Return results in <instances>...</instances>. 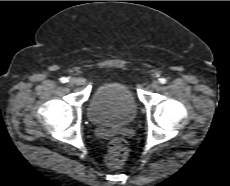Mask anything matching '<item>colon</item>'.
Listing matches in <instances>:
<instances>
[{
  "label": "colon",
  "instance_id": "obj_1",
  "mask_svg": "<svg viewBox=\"0 0 230 186\" xmlns=\"http://www.w3.org/2000/svg\"><path fill=\"white\" fill-rule=\"evenodd\" d=\"M128 154L129 149L126 141L122 138H115L108 145L105 162L110 168H119L126 162Z\"/></svg>",
  "mask_w": 230,
  "mask_h": 186
}]
</instances>
